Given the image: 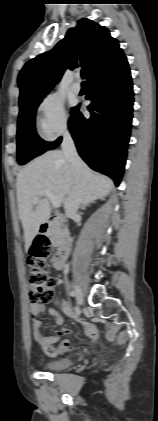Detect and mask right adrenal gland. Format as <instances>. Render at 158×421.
<instances>
[{
    "label": "right adrenal gland",
    "instance_id": "1",
    "mask_svg": "<svg viewBox=\"0 0 158 421\" xmlns=\"http://www.w3.org/2000/svg\"><path fill=\"white\" fill-rule=\"evenodd\" d=\"M87 206V203H84L82 206H81V209H85V207Z\"/></svg>",
    "mask_w": 158,
    "mask_h": 421
}]
</instances>
